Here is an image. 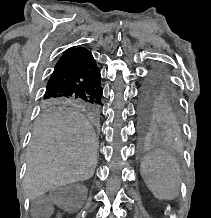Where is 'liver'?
<instances>
[{"instance_id": "1", "label": "liver", "mask_w": 211, "mask_h": 218, "mask_svg": "<svg viewBox=\"0 0 211 218\" xmlns=\"http://www.w3.org/2000/svg\"><path fill=\"white\" fill-rule=\"evenodd\" d=\"M97 144L92 126L80 112L46 110L34 126L27 152L26 196L35 200L48 190L92 178Z\"/></svg>"}]
</instances>
